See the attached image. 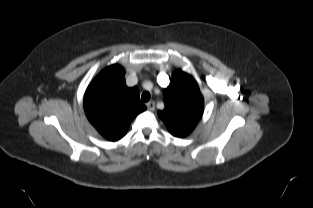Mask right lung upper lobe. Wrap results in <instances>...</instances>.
I'll return each mask as SVG.
<instances>
[{
  "mask_svg": "<svg viewBox=\"0 0 313 208\" xmlns=\"http://www.w3.org/2000/svg\"><path fill=\"white\" fill-rule=\"evenodd\" d=\"M124 75L120 65L108 66L94 78L84 95L88 120L109 141L121 139L132 120L146 110L138 88L127 87Z\"/></svg>",
  "mask_w": 313,
  "mask_h": 208,
  "instance_id": "cb5924a9",
  "label": "right lung upper lobe"
}]
</instances>
